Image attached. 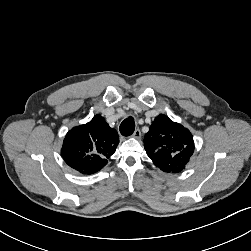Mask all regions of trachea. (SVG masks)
<instances>
[{"mask_svg":"<svg viewBox=\"0 0 251 251\" xmlns=\"http://www.w3.org/2000/svg\"><path fill=\"white\" fill-rule=\"evenodd\" d=\"M135 130V122L132 117H128L120 124V133L123 136H130Z\"/></svg>","mask_w":251,"mask_h":251,"instance_id":"obj_1","label":"trachea"}]
</instances>
